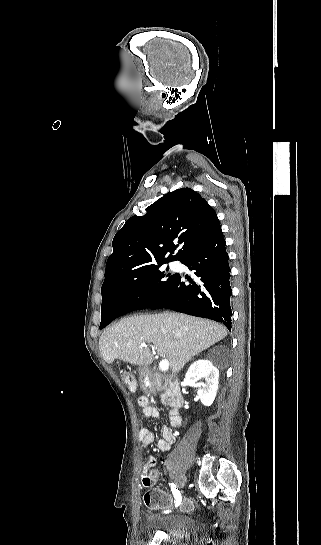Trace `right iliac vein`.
<instances>
[{"instance_id":"1","label":"right iliac vein","mask_w":321,"mask_h":545,"mask_svg":"<svg viewBox=\"0 0 321 545\" xmlns=\"http://www.w3.org/2000/svg\"><path fill=\"white\" fill-rule=\"evenodd\" d=\"M184 481H185V478L183 476H180L179 478H177L175 480V484L177 486L178 489H182L183 486H184Z\"/></svg>"}]
</instances>
